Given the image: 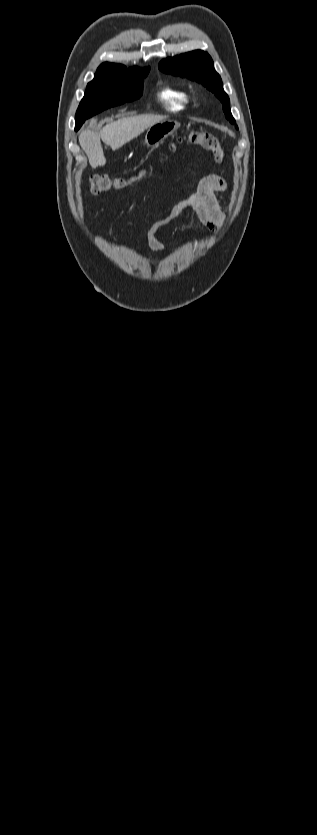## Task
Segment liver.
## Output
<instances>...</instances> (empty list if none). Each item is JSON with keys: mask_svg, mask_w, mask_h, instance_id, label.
Returning a JSON list of instances; mask_svg holds the SVG:
<instances>
[{"mask_svg": "<svg viewBox=\"0 0 317 835\" xmlns=\"http://www.w3.org/2000/svg\"><path fill=\"white\" fill-rule=\"evenodd\" d=\"M163 120V117L151 115L123 117L109 122L99 133L89 130L83 131L79 136V143L88 156L89 164L92 168L104 166L106 164V158L101 146V140L115 151L139 136L150 126Z\"/></svg>", "mask_w": 317, "mask_h": 835, "instance_id": "liver-1", "label": "liver"}]
</instances>
